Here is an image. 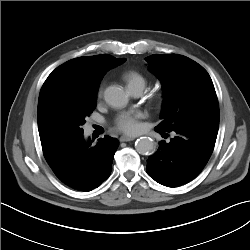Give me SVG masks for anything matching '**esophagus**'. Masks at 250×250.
Masks as SVG:
<instances>
[{"label": "esophagus", "instance_id": "34e87169", "mask_svg": "<svg viewBox=\"0 0 250 250\" xmlns=\"http://www.w3.org/2000/svg\"><path fill=\"white\" fill-rule=\"evenodd\" d=\"M134 139H135L134 137L126 136V135H123V136L120 137L121 142L133 141Z\"/></svg>", "mask_w": 250, "mask_h": 250}]
</instances>
